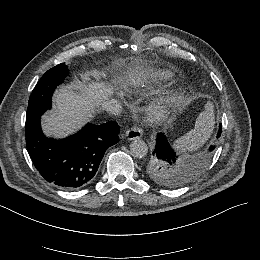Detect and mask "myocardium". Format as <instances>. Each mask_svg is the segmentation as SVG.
<instances>
[{"label":"myocardium","instance_id":"1","mask_svg":"<svg viewBox=\"0 0 260 260\" xmlns=\"http://www.w3.org/2000/svg\"><path fill=\"white\" fill-rule=\"evenodd\" d=\"M184 98V92H177L172 98H171V102H173V103H176V104H178V103H180L181 102V100ZM158 108H161V110L160 111H157L156 112V114L157 115H160L161 114V112H163V108L164 107H158Z\"/></svg>","mask_w":260,"mask_h":260}]
</instances>
